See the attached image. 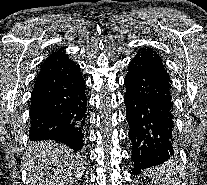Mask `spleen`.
Listing matches in <instances>:
<instances>
[{"label": "spleen", "instance_id": "obj_1", "mask_svg": "<svg viewBox=\"0 0 207 185\" xmlns=\"http://www.w3.org/2000/svg\"><path fill=\"white\" fill-rule=\"evenodd\" d=\"M147 179H178V174H172L170 166H151L150 174H147ZM162 183H165V181H162Z\"/></svg>", "mask_w": 207, "mask_h": 185}]
</instances>
